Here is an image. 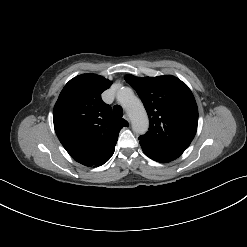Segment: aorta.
<instances>
[{"instance_id":"obj_1","label":"aorta","mask_w":247,"mask_h":247,"mask_svg":"<svg viewBox=\"0 0 247 247\" xmlns=\"http://www.w3.org/2000/svg\"><path fill=\"white\" fill-rule=\"evenodd\" d=\"M117 100L128 113L132 129L136 134H145L148 130V116L142 102L134 95L132 89L124 87L117 93Z\"/></svg>"}]
</instances>
